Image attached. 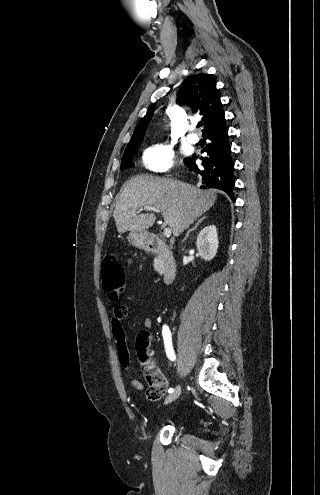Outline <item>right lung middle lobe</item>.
Segmentation results:
<instances>
[{
  "mask_svg": "<svg viewBox=\"0 0 320 495\" xmlns=\"http://www.w3.org/2000/svg\"><path fill=\"white\" fill-rule=\"evenodd\" d=\"M138 148H139V146L124 151L120 169L134 166V164L132 162V157Z\"/></svg>",
  "mask_w": 320,
  "mask_h": 495,
  "instance_id": "right-lung-middle-lobe-1",
  "label": "right lung middle lobe"
}]
</instances>
